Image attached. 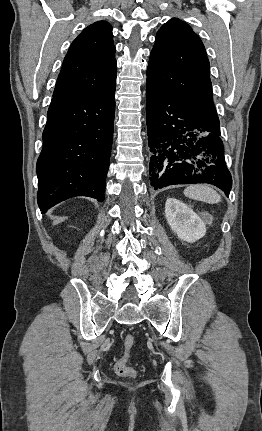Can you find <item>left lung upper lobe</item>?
Returning <instances> with one entry per match:
<instances>
[{
	"label": "left lung upper lobe",
	"instance_id": "left-lung-upper-lobe-1",
	"mask_svg": "<svg viewBox=\"0 0 262 431\" xmlns=\"http://www.w3.org/2000/svg\"><path fill=\"white\" fill-rule=\"evenodd\" d=\"M209 67L198 35L188 24L173 18L157 32L147 68V83L190 107L204 122L219 125Z\"/></svg>",
	"mask_w": 262,
	"mask_h": 431
}]
</instances>
